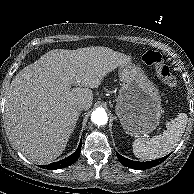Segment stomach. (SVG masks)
Wrapping results in <instances>:
<instances>
[{
    "mask_svg": "<svg viewBox=\"0 0 194 194\" xmlns=\"http://www.w3.org/2000/svg\"><path fill=\"white\" fill-rule=\"evenodd\" d=\"M122 86L115 112L129 135H148L160 123L161 98L142 69L134 64L119 67Z\"/></svg>",
    "mask_w": 194,
    "mask_h": 194,
    "instance_id": "obj_1",
    "label": "stomach"
}]
</instances>
